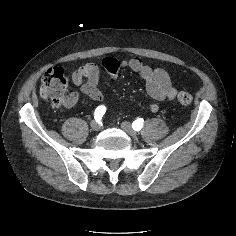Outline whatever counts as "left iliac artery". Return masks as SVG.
Instances as JSON below:
<instances>
[{
    "label": "left iliac artery",
    "instance_id": "left-iliac-artery-1",
    "mask_svg": "<svg viewBox=\"0 0 236 236\" xmlns=\"http://www.w3.org/2000/svg\"><path fill=\"white\" fill-rule=\"evenodd\" d=\"M143 122L144 120L142 118L140 119H137L135 120L133 123H132V128L135 130V131H140L143 127Z\"/></svg>",
    "mask_w": 236,
    "mask_h": 236
}]
</instances>
